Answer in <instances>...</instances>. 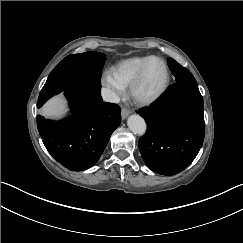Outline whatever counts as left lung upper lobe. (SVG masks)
Here are the masks:
<instances>
[{
  "instance_id": "obj_1",
  "label": "left lung upper lobe",
  "mask_w": 243,
  "mask_h": 243,
  "mask_svg": "<svg viewBox=\"0 0 243 243\" xmlns=\"http://www.w3.org/2000/svg\"><path fill=\"white\" fill-rule=\"evenodd\" d=\"M167 63L172 74L175 76L176 83L178 82L196 83V80L192 75V73L185 67L181 66L177 61H175L172 58H167Z\"/></svg>"
}]
</instances>
